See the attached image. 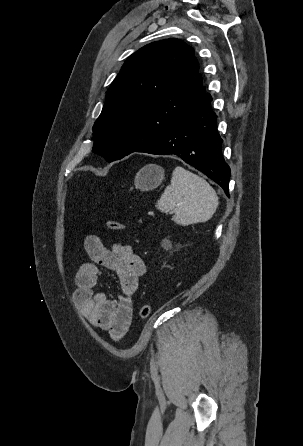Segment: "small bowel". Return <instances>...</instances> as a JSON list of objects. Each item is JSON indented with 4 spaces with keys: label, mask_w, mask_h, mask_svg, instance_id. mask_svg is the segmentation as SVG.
Listing matches in <instances>:
<instances>
[{
    "label": "small bowel",
    "mask_w": 303,
    "mask_h": 446,
    "mask_svg": "<svg viewBox=\"0 0 303 446\" xmlns=\"http://www.w3.org/2000/svg\"><path fill=\"white\" fill-rule=\"evenodd\" d=\"M83 247L89 260L76 273L73 299L92 326L121 339L132 321L134 293L145 273V263L129 244L116 242L106 248L94 234L85 237ZM101 267L117 274L121 293L116 300L97 291Z\"/></svg>",
    "instance_id": "obj_1"
}]
</instances>
